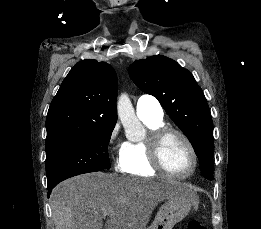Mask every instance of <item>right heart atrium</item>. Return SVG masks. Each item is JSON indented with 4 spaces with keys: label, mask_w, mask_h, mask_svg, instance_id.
<instances>
[{
    "label": "right heart atrium",
    "mask_w": 261,
    "mask_h": 229,
    "mask_svg": "<svg viewBox=\"0 0 261 229\" xmlns=\"http://www.w3.org/2000/svg\"><path fill=\"white\" fill-rule=\"evenodd\" d=\"M117 132H118V127L115 126L110 133L109 144L115 150V153L112 155L114 168L116 170H123L125 164L124 156L122 153L123 144L116 143Z\"/></svg>",
    "instance_id": "d8ad5b80"
}]
</instances>
